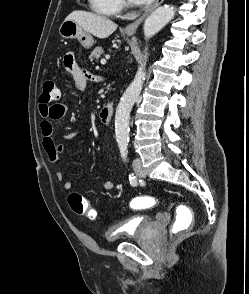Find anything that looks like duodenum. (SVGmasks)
Segmentation results:
<instances>
[{
  "instance_id": "duodenum-1",
  "label": "duodenum",
  "mask_w": 249,
  "mask_h": 294,
  "mask_svg": "<svg viewBox=\"0 0 249 294\" xmlns=\"http://www.w3.org/2000/svg\"><path fill=\"white\" fill-rule=\"evenodd\" d=\"M112 116H113V106L111 103H108L107 105H105L100 113H99V119L100 122L103 125H109L111 120H112Z\"/></svg>"
}]
</instances>
